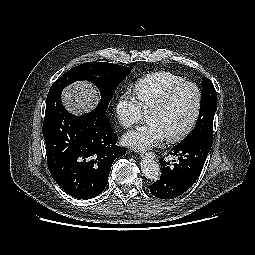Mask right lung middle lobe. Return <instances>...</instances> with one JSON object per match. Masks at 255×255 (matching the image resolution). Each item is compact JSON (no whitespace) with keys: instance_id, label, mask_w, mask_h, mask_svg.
I'll use <instances>...</instances> for the list:
<instances>
[{"instance_id":"obj_1","label":"right lung middle lobe","mask_w":255,"mask_h":255,"mask_svg":"<svg viewBox=\"0 0 255 255\" xmlns=\"http://www.w3.org/2000/svg\"><path fill=\"white\" fill-rule=\"evenodd\" d=\"M130 71L129 67L107 62L83 63L58 78L52 84L47 99L75 81L87 80L99 89L101 100L96 109L105 114L119 83Z\"/></svg>"}]
</instances>
